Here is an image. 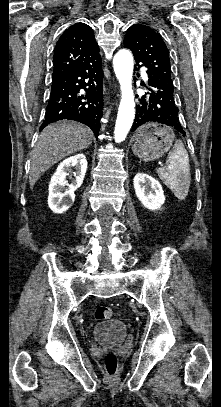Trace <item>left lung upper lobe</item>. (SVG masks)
<instances>
[{"label": "left lung upper lobe", "mask_w": 221, "mask_h": 407, "mask_svg": "<svg viewBox=\"0 0 221 407\" xmlns=\"http://www.w3.org/2000/svg\"><path fill=\"white\" fill-rule=\"evenodd\" d=\"M124 45L129 48L136 60L147 67V73L172 82L169 52L161 38L152 28L134 24L126 32Z\"/></svg>", "instance_id": "left-lung-upper-lobe-1"}]
</instances>
